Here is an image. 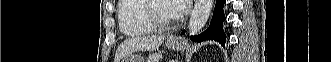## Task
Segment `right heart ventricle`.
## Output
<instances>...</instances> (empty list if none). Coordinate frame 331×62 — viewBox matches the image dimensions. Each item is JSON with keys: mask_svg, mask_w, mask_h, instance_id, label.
<instances>
[{"mask_svg": "<svg viewBox=\"0 0 331 62\" xmlns=\"http://www.w3.org/2000/svg\"><path fill=\"white\" fill-rule=\"evenodd\" d=\"M144 2V0L118 2L119 28L126 36H141L154 30L144 18Z\"/></svg>", "mask_w": 331, "mask_h": 62, "instance_id": "e07e8e85", "label": "right heart ventricle"}]
</instances>
